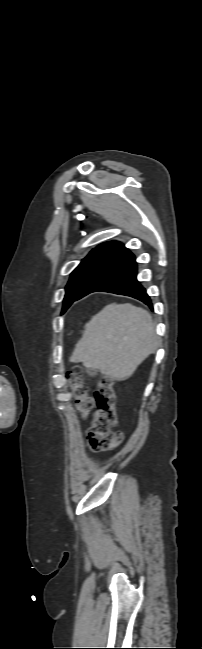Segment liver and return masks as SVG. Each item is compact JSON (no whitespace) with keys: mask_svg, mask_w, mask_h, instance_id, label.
<instances>
[{"mask_svg":"<svg viewBox=\"0 0 202 649\" xmlns=\"http://www.w3.org/2000/svg\"><path fill=\"white\" fill-rule=\"evenodd\" d=\"M158 340L148 311L131 304H110L85 325L69 361L123 381L155 352Z\"/></svg>","mask_w":202,"mask_h":649,"instance_id":"1","label":"liver"}]
</instances>
